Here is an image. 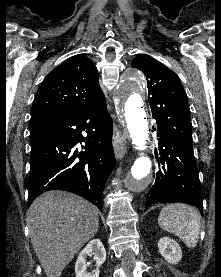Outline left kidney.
Returning <instances> with one entry per match:
<instances>
[{
    "label": "left kidney",
    "mask_w": 221,
    "mask_h": 277,
    "mask_svg": "<svg viewBox=\"0 0 221 277\" xmlns=\"http://www.w3.org/2000/svg\"><path fill=\"white\" fill-rule=\"evenodd\" d=\"M158 249L164 259L171 264H177L182 258L179 244L169 237H162L159 240Z\"/></svg>",
    "instance_id": "5707ae66"
}]
</instances>
